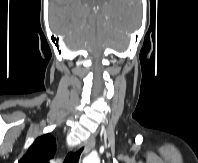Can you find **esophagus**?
Listing matches in <instances>:
<instances>
[{"label": "esophagus", "mask_w": 198, "mask_h": 163, "mask_svg": "<svg viewBox=\"0 0 198 163\" xmlns=\"http://www.w3.org/2000/svg\"><path fill=\"white\" fill-rule=\"evenodd\" d=\"M95 143H96V139L95 136L93 135L84 144L80 146V147L84 146L83 154H87L88 152H90V150L95 146Z\"/></svg>", "instance_id": "34e87169"}]
</instances>
